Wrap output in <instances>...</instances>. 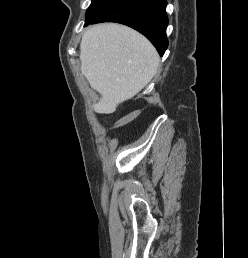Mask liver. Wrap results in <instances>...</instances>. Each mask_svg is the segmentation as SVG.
<instances>
[{"label": "liver", "mask_w": 248, "mask_h": 258, "mask_svg": "<svg viewBox=\"0 0 248 258\" xmlns=\"http://www.w3.org/2000/svg\"><path fill=\"white\" fill-rule=\"evenodd\" d=\"M81 73L100 95L93 105L101 114L113 113L155 76L160 57L137 31L105 23L85 31L80 44Z\"/></svg>", "instance_id": "1"}]
</instances>
